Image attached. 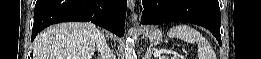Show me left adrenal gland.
Returning <instances> with one entry per match:
<instances>
[{"mask_svg": "<svg viewBox=\"0 0 261 59\" xmlns=\"http://www.w3.org/2000/svg\"><path fill=\"white\" fill-rule=\"evenodd\" d=\"M151 58H152V51H151V48L148 47L147 51L145 53L144 59H151Z\"/></svg>", "mask_w": 261, "mask_h": 59, "instance_id": "1", "label": "left adrenal gland"}]
</instances>
